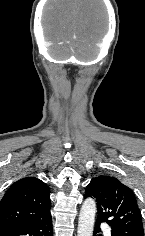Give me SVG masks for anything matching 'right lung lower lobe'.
<instances>
[{"label": "right lung lower lobe", "instance_id": "obj_1", "mask_svg": "<svg viewBox=\"0 0 145 236\" xmlns=\"http://www.w3.org/2000/svg\"><path fill=\"white\" fill-rule=\"evenodd\" d=\"M52 216L0 228V236H52Z\"/></svg>", "mask_w": 145, "mask_h": 236}]
</instances>
